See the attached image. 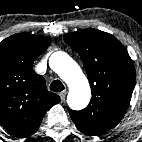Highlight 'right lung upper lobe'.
<instances>
[{
  "label": "right lung upper lobe",
  "instance_id": "right-lung-upper-lobe-1",
  "mask_svg": "<svg viewBox=\"0 0 142 142\" xmlns=\"http://www.w3.org/2000/svg\"><path fill=\"white\" fill-rule=\"evenodd\" d=\"M51 38L15 34L0 42V125L18 138L34 134L46 112L60 101L33 70Z\"/></svg>",
  "mask_w": 142,
  "mask_h": 142
}]
</instances>
